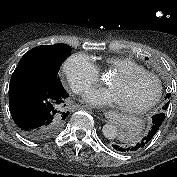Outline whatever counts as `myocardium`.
<instances>
[{"instance_id":"f54148a6","label":"myocardium","mask_w":177,"mask_h":177,"mask_svg":"<svg viewBox=\"0 0 177 177\" xmlns=\"http://www.w3.org/2000/svg\"><path fill=\"white\" fill-rule=\"evenodd\" d=\"M116 76H118L119 78H123V79H131V78H138V77H147L150 78L154 83H155V91L153 93V95L144 103L139 104V105H135V106H125V105H121V108L125 111H129V112H143L148 110L149 108H151L152 106H154L162 93V83L160 81V79L158 78L157 75L146 71V70H142V71H125V72H117L115 73Z\"/></svg>"}]
</instances>
